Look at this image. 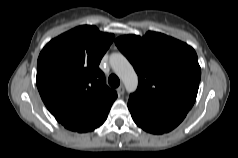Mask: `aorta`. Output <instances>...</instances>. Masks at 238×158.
I'll use <instances>...</instances> for the list:
<instances>
[{"mask_svg": "<svg viewBox=\"0 0 238 158\" xmlns=\"http://www.w3.org/2000/svg\"><path fill=\"white\" fill-rule=\"evenodd\" d=\"M109 61L116 75L123 81L126 90L134 92L138 85V77L126 57L121 53H113Z\"/></svg>", "mask_w": 238, "mask_h": 158, "instance_id": "obj_1", "label": "aorta"}]
</instances>
